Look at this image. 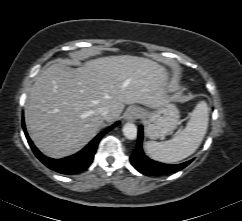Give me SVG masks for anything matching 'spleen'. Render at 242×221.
<instances>
[{"mask_svg":"<svg viewBox=\"0 0 242 221\" xmlns=\"http://www.w3.org/2000/svg\"><path fill=\"white\" fill-rule=\"evenodd\" d=\"M209 121L208 106L199 102L191 113L186 127L173 139L145 144L147 153L156 161L175 163L192 155L200 146L207 132Z\"/></svg>","mask_w":242,"mask_h":221,"instance_id":"spleen-1","label":"spleen"}]
</instances>
